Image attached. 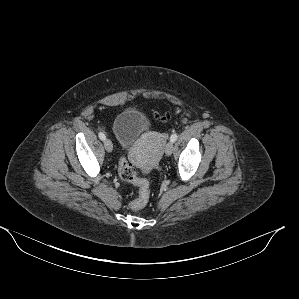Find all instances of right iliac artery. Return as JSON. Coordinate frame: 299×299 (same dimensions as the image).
I'll list each match as a JSON object with an SVG mask.
<instances>
[{"mask_svg":"<svg viewBox=\"0 0 299 299\" xmlns=\"http://www.w3.org/2000/svg\"><path fill=\"white\" fill-rule=\"evenodd\" d=\"M98 135L101 140H105L106 137H105L104 133L100 132Z\"/></svg>","mask_w":299,"mask_h":299,"instance_id":"obj_1","label":"right iliac artery"}]
</instances>
